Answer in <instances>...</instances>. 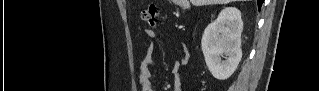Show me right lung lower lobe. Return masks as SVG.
Wrapping results in <instances>:
<instances>
[{"instance_id":"98d812e1","label":"right lung lower lobe","mask_w":319,"mask_h":91,"mask_svg":"<svg viewBox=\"0 0 319 91\" xmlns=\"http://www.w3.org/2000/svg\"><path fill=\"white\" fill-rule=\"evenodd\" d=\"M257 3H258V7H259V9H260V7H261V5H262V3H263V0H257Z\"/></svg>"}]
</instances>
